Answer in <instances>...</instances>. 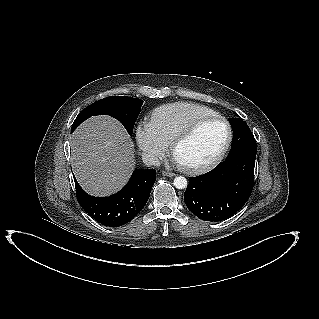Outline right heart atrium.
Wrapping results in <instances>:
<instances>
[{
  "instance_id": "1",
  "label": "right heart atrium",
  "mask_w": 319,
  "mask_h": 319,
  "mask_svg": "<svg viewBox=\"0 0 319 319\" xmlns=\"http://www.w3.org/2000/svg\"><path fill=\"white\" fill-rule=\"evenodd\" d=\"M135 139L142 156L151 164H158L168 150L169 144L147 121L136 125Z\"/></svg>"
}]
</instances>
